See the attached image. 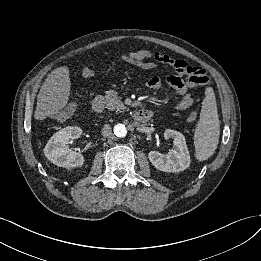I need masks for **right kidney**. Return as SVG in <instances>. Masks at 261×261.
Here are the masks:
<instances>
[{
    "instance_id": "obj_1",
    "label": "right kidney",
    "mask_w": 261,
    "mask_h": 261,
    "mask_svg": "<svg viewBox=\"0 0 261 261\" xmlns=\"http://www.w3.org/2000/svg\"><path fill=\"white\" fill-rule=\"evenodd\" d=\"M81 134L82 129L77 126H68L56 132L44 148L47 159L59 167L82 166L85 162L83 155L70 150L66 145L70 139H77Z\"/></svg>"
}]
</instances>
